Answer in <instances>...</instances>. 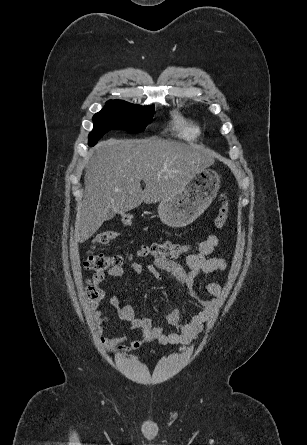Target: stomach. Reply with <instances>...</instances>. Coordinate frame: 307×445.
<instances>
[{
    "label": "stomach",
    "instance_id": "stomach-1",
    "mask_svg": "<svg viewBox=\"0 0 307 445\" xmlns=\"http://www.w3.org/2000/svg\"><path fill=\"white\" fill-rule=\"evenodd\" d=\"M220 182L218 172L211 168H200L194 172L180 194L160 200L157 212L162 223L172 229L191 225L213 202Z\"/></svg>",
    "mask_w": 307,
    "mask_h": 445
}]
</instances>
